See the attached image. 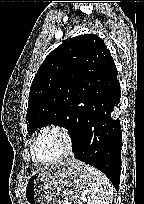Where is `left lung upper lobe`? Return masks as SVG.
<instances>
[{"mask_svg":"<svg viewBox=\"0 0 144 204\" xmlns=\"http://www.w3.org/2000/svg\"><path fill=\"white\" fill-rule=\"evenodd\" d=\"M112 60L104 41L93 34L73 37L53 50L30 88L28 134L48 124L67 128L71 137L78 132L97 67Z\"/></svg>","mask_w":144,"mask_h":204,"instance_id":"left-lung-upper-lobe-1","label":"left lung upper lobe"}]
</instances>
